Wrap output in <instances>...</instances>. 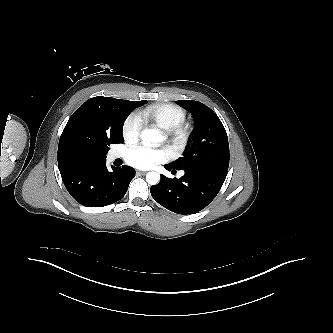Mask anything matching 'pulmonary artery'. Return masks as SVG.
<instances>
[{
  "instance_id": "1",
  "label": "pulmonary artery",
  "mask_w": 333,
  "mask_h": 333,
  "mask_svg": "<svg viewBox=\"0 0 333 333\" xmlns=\"http://www.w3.org/2000/svg\"><path fill=\"white\" fill-rule=\"evenodd\" d=\"M120 156V154L118 153V152H111L110 154H109V159L110 160H115L116 158H118Z\"/></svg>"
}]
</instances>
